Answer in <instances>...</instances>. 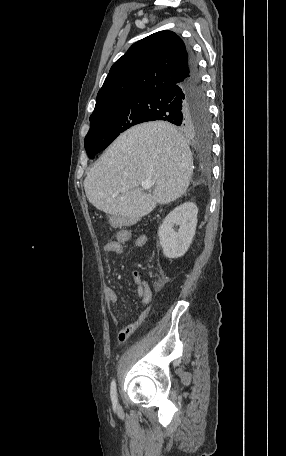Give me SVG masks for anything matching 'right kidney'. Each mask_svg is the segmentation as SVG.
I'll list each match as a JSON object with an SVG mask.
<instances>
[{"mask_svg":"<svg viewBox=\"0 0 286 456\" xmlns=\"http://www.w3.org/2000/svg\"><path fill=\"white\" fill-rule=\"evenodd\" d=\"M198 208L193 202H186L171 211L158 230L160 245L167 258L183 256L195 235ZM174 226H179L176 232Z\"/></svg>","mask_w":286,"mask_h":456,"instance_id":"obj_1","label":"right kidney"}]
</instances>
